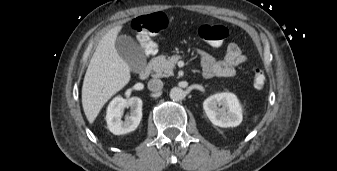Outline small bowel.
I'll list each match as a JSON object with an SVG mask.
<instances>
[{
	"label": "small bowel",
	"mask_w": 337,
	"mask_h": 171,
	"mask_svg": "<svg viewBox=\"0 0 337 171\" xmlns=\"http://www.w3.org/2000/svg\"><path fill=\"white\" fill-rule=\"evenodd\" d=\"M199 54L203 75L206 78L215 76L232 77L236 74L237 67L246 61V56L235 43H231L227 46L225 56L221 60L215 59L211 54L205 51H200Z\"/></svg>",
	"instance_id": "small-bowel-1"
}]
</instances>
